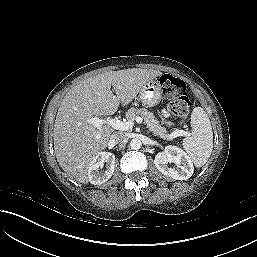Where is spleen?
Returning a JSON list of instances; mask_svg holds the SVG:
<instances>
[{
  "mask_svg": "<svg viewBox=\"0 0 257 257\" xmlns=\"http://www.w3.org/2000/svg\"><path fill=\"white\" fill-rule=\"evenodd\" d=\"M191 136L186 137L182 146L196 167H202L213 149V132L208 115L201 107H195L191 114Z\"/></svg>",
  "mask_w": 257,
  "mask_h": 257,
  "instance_id": "3e777b00",
  "label": "spleen"
}]
</instances>
